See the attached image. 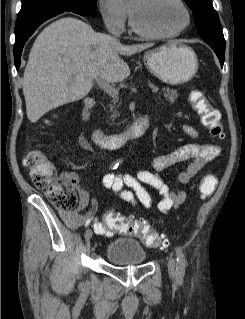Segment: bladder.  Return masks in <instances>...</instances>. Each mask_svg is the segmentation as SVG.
<instances>
[{
  "label": "bladder",
  "mask_w": 245,
  "mask_h": 319,
  "mask_svg": "<svg viewBox=\"0 0 245 319\" xmlns=\"http://www.w3.org/2000/svg\"><path fill=\"white\" fill-rule=\"evenodd\" d=\"M104 256L109 262L121 265L140 264L147 258L140 242L126 237L111 240L106 246Z\"/></svg>",
  "instance_id": "bladder-1"
}]
</instances>
